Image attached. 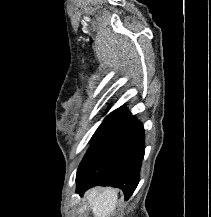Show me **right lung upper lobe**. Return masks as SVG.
<instances>
[{"label":"right lung upper lobe","mask_w":211,"mask_h":217,"mask_svg":"<svg viewBox=\"0 0 211 217\" xmlns=\"http://www.w3.org/2000/svg\"><path fill=\"white\" fill-rule=\"evenodd\" d=\"M126 112H127V108L124 107V106H122V107L116 109L115 111H113L112 113H110V114L106 117V119H113V120H115V119L121 117V116H122L123 114H125Z\"/></svg>","instance_id":"obj_1"}]
</instances>
